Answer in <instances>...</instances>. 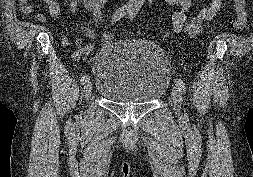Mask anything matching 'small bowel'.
<instances>
[{"label":"small bowel","mask_w":253,"mask_h":177,"mask_svg":"<svg viewBox=\"0 0 253 177\" xmlns=\"http://www.w3.org/2000/svg\"><path fill=\"white\" fill-rule=\"evenodd\" d=\"M108 0H70L69 7L77 15L79 7H83L90 13L92 25L82 26V32L92 41L97 39L98 30L104 21L103 9ZM46 4L48 13L53 19L60 18V5L57 0H43ZM170 6L177 10L171 16L173 30L176 33H183L190 37L200 34L206 22L212 20L220 11L222 0H209V4L201 9L190 21L187 20V14L191 7L192 0H165ZM20 10L23 15L32 11L31 0H19ZM40 20H45L44 14H39ZM76 44L79 49L74 53V57L79 58L87 55L93 48V43L83 44L80 38H76Z\"/></svg>","instance_id":"c3829d8e"}]
</instances>
